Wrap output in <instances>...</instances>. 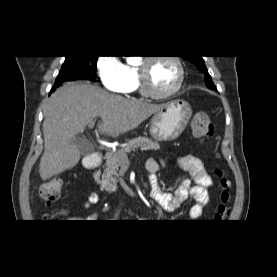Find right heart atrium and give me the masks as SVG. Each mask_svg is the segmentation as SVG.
<instances>
[{"instance_id":"1","label":"right heart atrium","mask_w":277,"mask_h":277,"mask_svg":"<svg viewBox=\"0 0 277 277\" xmlns=\"http://www.w3.org/2000/svg\"><path fill=\"white\" fill-rule=\"evenodd\" d=\"M97 72L102 85L113 92L125 93L130 83L128 67L118 55L108 54L98 57Z\"/></svg>"}]
</instances>
